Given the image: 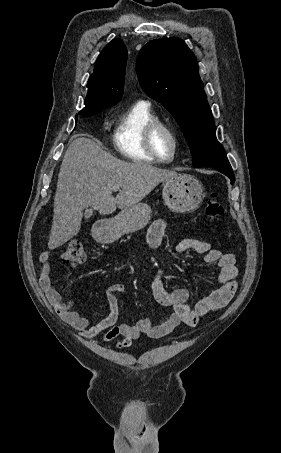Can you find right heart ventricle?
Masks as SVG:
<instances>
[{
	"instance_id": "right-heart-ventricle-1",
	"label": "right heart ventricle",
	"mask_w": 281,
	"mask_h": 453,
	"mask_svg": "<svg viewBox=\"0 0 281 453\" xmlns=\"http://www.w3.org/2000/svg\"><path fill=\"white\" fill-rule=\"evenodd\" d=\"M158 117L143 101H137L124 108L119 114L114 133L115 150L125 159L155 162L146 147V132Z\"/></svg>"
}]
</instances>
